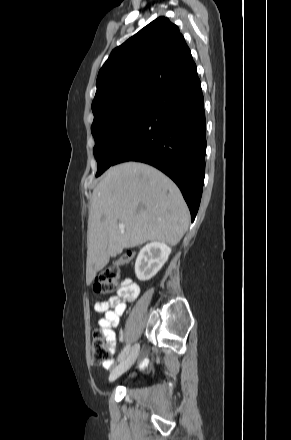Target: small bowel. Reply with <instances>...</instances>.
<instances>
[{
    "label": "small bowel",
    "instance_id": "1",
    "mask_svg": "<svg viewBox=\"0 0 291 440\" xmlns=\"http://www.w3.org/2000/svg\"><path fill=\"white\" fill-rule=\"evenodd\" d=\"M139 293L140 287L136 283L124 280L120 296L115 295L107 301L97 302L94 306L95 311L105 313L104 317L99 320V325L111 355H114L116 350V334L113 328L119 324L120 317L125 313L127 306L137 298ZM112 366V359L103 363L106 370H110Z\"/></svg>",
    "mask_w": 291,
    "mask_h": 440
}]
</instances>
